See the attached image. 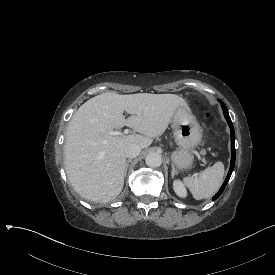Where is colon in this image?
Instances as JSON below:
<instances>
[{"instance_id": "obj_1", "label": "colon", "mask_w": 275, "mask_h": 275, "mask_svg": "<svg viewBox=\"0 0 275 275\" xmlns=\"http://www.w3.org/2000/svg\"><path fill=\"white\" fill-rule=\"evenodd\" d=\"M205 116L208 117V116H209V113H206Z\"/></svg>"}]
</instances>
